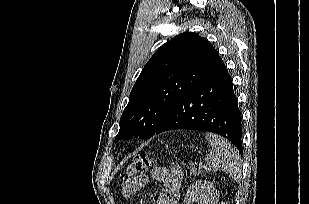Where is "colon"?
Masks as SVG:
<instances>
[{
	"mask_svg": "<svg viewBox=\"0 0 309 204\" xmlns=\"http://www.w3.org/2000/svg\"><path fill=\"white\" fill-rule=\"evenodd\" d=\"M152 157L149 152H141L136 155L127 165L126 169L121 174V180L125 183L133 178L141 175L150 167Z\"/></svg>",
	"mask_w": 309,
	"mask_h": 204,
	"instance_id": "5ec220e1",
	"label": "colon"
}]
</instances>
